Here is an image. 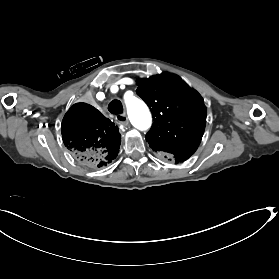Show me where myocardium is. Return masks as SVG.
I'll list each match as a JSON object with an SVG mask.
<instances>
[{"label":"myocardium","mask_w":279,"mask_h":279,"mask_svg":"<svg viewBox=\"0 0 279 279\" xmlns=\"http://www.w3.org/2000/svg\"><path fill=\"white\" fill-rule=\"evenodd\" d=\"M123 81V80H122ZM97 98L99 99V100H101L102 98H103V95L102 94H98L97 95Z\"/></svg>","instance_id":"f54148a6"}]
</instances>
